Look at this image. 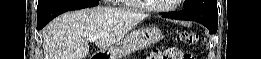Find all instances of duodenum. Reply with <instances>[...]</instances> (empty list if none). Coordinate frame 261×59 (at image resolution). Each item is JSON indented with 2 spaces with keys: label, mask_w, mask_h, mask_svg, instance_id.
Returning <instances> with one entry per match:
<instances>
[{
  "label": "duodenum",
  "mask_w": 261,
  "mask_h": 59,
  "mask_svg": "<svg viewBox=\"0 0 261 59\" xmlns=\"http://www.w3.org/2000/svg\"><path fill=\"white\" fill-rule=\"evenodd\" d=\"M105 58H106L105 53H97L92 57V59H105Z\"/></svg>",
  "instance_id": "410a0bca"
}]
</instances>
